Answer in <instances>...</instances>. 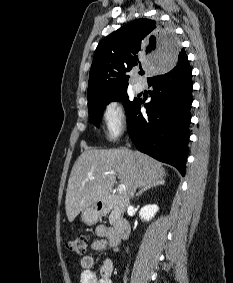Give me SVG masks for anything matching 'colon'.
<instances>
[{
    "label": "colon",
    "instance_id": "1",
    "mask_svg": "<svg viewBox=\"0 0 233 283\" xmlns=\"http://www.w3.org/2000/svg\"><path fill=\"white\" fill-rule=\"evenodd\" d=\"M89 239L87 235H79L71 239L67 243V247L70 251L77 255H82L85 253Z\"/></svg>",
    "mask_w": 233,
    "mask_h": 283
}]
</instances>
